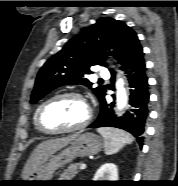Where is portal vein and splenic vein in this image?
Wrapping results in <instances>:
<instances>
[{"mask_svg": "<svg viewBox=\"0 0 178 186\" xmlns=\"http://www.w3.org/2000/svg\"><path fill=\"white\" fill-rule=\"evenodd\" d=\"M85 168H86V164H85V163H82V164L80 165V169L83 170V169H85Z\"/></svg>", "mask_w": 178, "mask_h": 186, "instance_id": "1", "label": "portal vein and splenic vein"}]
</instances>
